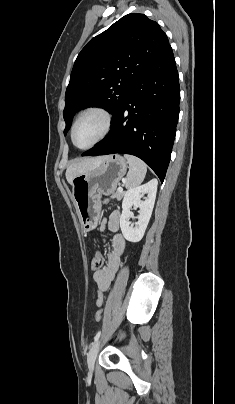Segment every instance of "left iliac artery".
<instances>
[{"mask_svg": "<svg viewBox=\"0 0 235 404\" xmlns=\"http://www.w3.org/2000/svg\"><path fill=\"white\" fill-rule=\"evenodd\" d=\"M100 335H101V331H98V333L94 337V342H96L99 339Z\"/></svg>", "mask_w": 235, "mask_h": 404, "instance_id": "obj_1", "label": "left iliac artery"}]
</instances>
